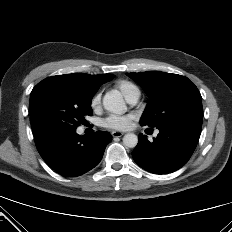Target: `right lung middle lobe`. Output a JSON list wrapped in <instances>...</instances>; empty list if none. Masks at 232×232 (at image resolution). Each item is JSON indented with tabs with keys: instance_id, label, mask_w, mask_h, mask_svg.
I'll use <instances>...</instances> for the list:
<instances>
[{
	"instance_id": "1",
	"label": "right lung middle lobe",
	"mask_w": 232,
	"mask_h": 232,
	"mask_svg": "<svg viewBox=\"0 0 232 232\" xmlns=\"http://www.w3.org/2000/svg\"><path fill=\"white\" fill-rule=\"evenodd\" d=\"M95 92L85 80L69 74L41 81L30 94L33 134L52 128L75 130L84 124L85 116L92 115L91 99Z\"/></svg>"
}]
</instances>
